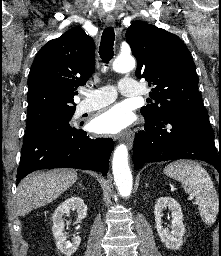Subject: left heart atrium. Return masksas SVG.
Listing matches in <instances>:
<instances>
[{
    "label": "left heart atrium",
    "instance_id": "39dd6f15",
    "mask_svg": "<svg viewBox=\"0 0 221 256\" xmlns=\"http://www.w3.org/2000/svg\"><path fill=\"white\" fill-rule=\"evenodd\" d=\"M129 111L121 105H114L102 111L93 120V129L98 133L115 134L131 124Z\"/></svg>",
    "mask_w": 221,
    "mask_h": 256
}]
</instances>
